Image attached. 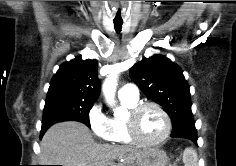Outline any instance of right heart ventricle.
<instances>
[{"mask_svg": "<svg viewBox=\"0 0 236 166\" xmlns=\"http://www.w3.org/2000/svg\"><path fill=\"white\" fill-rule=\"evenodd\" d=\"M122 105L130 110L134 108L138 101H131L128 99L120 98ZM110 141L115 144L122 145V146H132L134 145L133 141L131 140L124 119L118 117H112L110 119Z\"/></svg>", "mask_w": 236, "mask_h": 166, "instance_id": "e07e8e85", "label": "right heart ventricle"}]
</instances>
